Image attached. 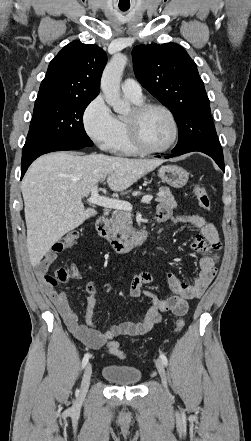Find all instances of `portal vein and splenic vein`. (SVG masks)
I'll return each instance as SVG.
<instances>
[{"label": "portal vein and splenic vein", "instance_id": "obj_1", "mask_svg": "<svg viewBox=\"0 0 251 441\" xmlns=\"http://www.w3.org/2000/svg\"><path fill=\"white\" fill-rule=\"evenodd\" d=\"M153 199V196L146 195L142 198L141 202L149 203ZM88 202L102 206L104 208L116 209V210H126L131 211L132 205L127 201L110 199L104 196H100L98 193V187L95 186L91 190V196L88 198Z\"/></svg>", "mask_w": 251, "mask_h": 441}]
</instances>
